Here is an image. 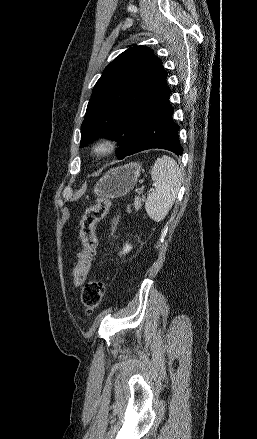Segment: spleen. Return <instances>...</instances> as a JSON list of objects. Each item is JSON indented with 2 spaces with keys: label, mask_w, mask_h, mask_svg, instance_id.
<instances>
[{
  "label": "spleen",
  "mask_w": 257,
  "mask_h": 439,
  "mask_svg": "<svg viewBox=\"0 0 257 439\" xmlns=\"http://www.w3.org/2000/svg\"><path fill=\"white\" fill-rule=\"evenodd\" d=\"M154 189L148 194L145 209L155 222L164 220L175 201L182 174L176 161L166 155L157 158L151 170Z\"/></svg>",
  "instance_id": "3e777b00"
}]
</instances>
